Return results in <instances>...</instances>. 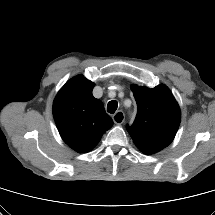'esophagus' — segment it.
I'll use <instances>...</instances> for the list:
<instances>
[{"mask_svg":"<svg viewBox=\"0 0 215 215\" xmlns=\"http://www.w3.org/2000/svg\"><path fill=\"white\" fill-rule=\"evenodd\" d=\"M113 121L115 124H122L125 120V115L122 111H117L113 117H112Z\"/></svg>","mask_w":215,"mask_h":215,"instance_id":"esophagus-1","label":"esophagus"}]
</instances>
